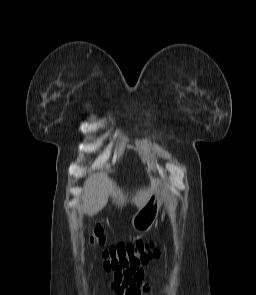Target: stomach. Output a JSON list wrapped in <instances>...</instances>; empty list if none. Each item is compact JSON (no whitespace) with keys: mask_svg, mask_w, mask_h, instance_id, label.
Listing matches in <instances>:
<instances>
[{"mask_svg":"<svg viewBox=\"0 0 256 295\" xmlns=\"http://www.w3.org/2000/svg\"><path fill=\"white\" fill-rule=\"evenodd\" d=\"M164 197L165 189L163 187L153 192L147 203L132 216V226L135 230L147 231L152 227Z\"/></svg>","mask_w":256,"mask_h":295,"instance_id":"obj_1","label":"stomach"}]
</instances>
